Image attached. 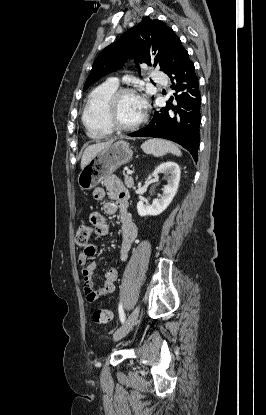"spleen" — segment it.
<instances>
[{"label":"spleen","instance_id":"1","mask_svg":"<svg viewBox=\"0 0 266 415\" xmlns=\"http://www.w3.org/2000/svg\"><path fill=\"white\" fill-rule=\"evenodd\" d=\"M141 148L146 154H151L155 157H160L167 153H172L176 156L182 155L180 149L175 144L162 139L147 140L141 145Z\"/></svg>","mask_w":266,"mask_h":415}]
</instances>
